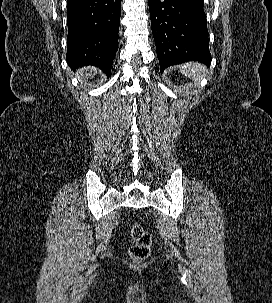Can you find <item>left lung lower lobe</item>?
<instances>
[{
	"label": "left lung lower lobe",
	"mask_w": 272,
	"mask_h": 303,
	"mask_svg": "<svg viewBox=\"0 0 272 303\" xmlns=\"http://www.w3.org/2000/svg\"><path fill=\"white\" fill-rule=\"evenodd\" d=\"M160 71L182 62L211 63L204 0H148Z\"/></svg>",
	"instance_id": "obj_1"
}]
</instances>
